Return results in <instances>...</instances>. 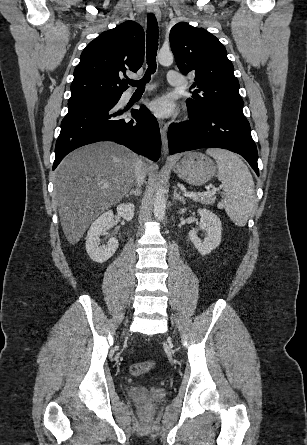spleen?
Returning a JSON list of instances; mask_svg holds the SVG:
<instances>
[{
  "mask_svg": "<svg viewBox=\"0 0 307 445\" xmlns=\"http://www.w3.org/2000/svg\"><path fill=\"white\" fill-rule=\"evenodd\" d=\"M218 164V180L223 186V206L237 227H245L257 208L253 176L244 160L224 148H207Z\"/></svg>",
  "mask_w": 307,
  "mask_h": 445,
  "instance_id": "1",
  "label": "spleen"
}]
</instances>
